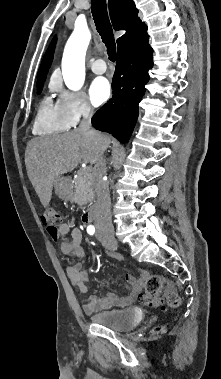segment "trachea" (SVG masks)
<instances>
[{"label":"trachea","mask_w":221,"mask_h":379,"mask_svg":"<svg viewBox=\"0 0 221 379\" xmlns=\"http://www.w3.org/2000/svg\"><path fill=\"white\" fill-rule=\"evenodd\" d=\"M91 4L96 29L107 47L109 60L114 62L116 55V44L112 26L108 17L106 0H91Z\"/></svg>","instance_id":"trachea-1"}]
</instances>
